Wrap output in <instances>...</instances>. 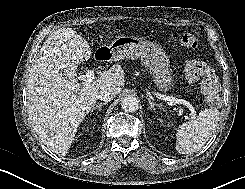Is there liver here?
<instances>
[{
  "mask_svg": "<svg viewBox=\"0 0 245 189\" xmlns=\"http://www.w3.org/2000/svg\"><path fill=\"white\" fill-rule=\"evenodd\" d=\"M91 57L88 42L72 28H59L44 42L29 74L28 114L42 142L65 156L79 124L95 105L102 89L121 93L124 71L115 64L89 84H79L77 67Z\"/></svg>",
  "mask_w": 245,
  "mask_h": 189,
  "instance_id": "liver-1",
  "label": "liver"
}]
</instances>
